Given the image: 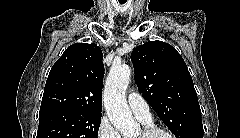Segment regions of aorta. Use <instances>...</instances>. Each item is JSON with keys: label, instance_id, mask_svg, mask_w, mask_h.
Listing matches in <instances>:
<instances>
[{"label": "aorta", "instance_id": "obj_1", "mask_svg": "<svg viewBox=\"0 0 240 138\" xmlns=\"http://www.w3.org/2000/svg\"><path fill=\"white\" fill-rule=\"evenodd\" d=\"M130 76L131 69L128 65H112L105 83L103 97L110 122L124 138L134 137L138 129V124L125 98Z\"/></svg>", "mask_w": 240, "mask_h": 138}]
</instances>
